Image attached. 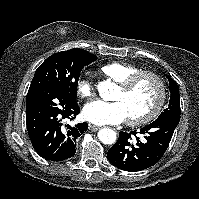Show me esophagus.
<instances>
[{"label": "esophagus", "instance_id": "esophagus-1", "mask_svg": "<svg viewBox=\"0 0 199 199\" xmlns=\"http://www.w3.org/2000/svg\"><path fill=\"white\" fill-rule=\"evenodd\" d=\"M99 129V127L98 126H95V125H89V130L91 131V132H95V131H97Z\"/></svg>", "mask_w": 199, "mask_h": 199}]
</instances>
